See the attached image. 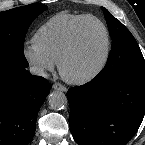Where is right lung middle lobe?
I'll return each instance as SVG.
<instances>
[{"mask_svg":"<svg viewBox=\"0 0 145 145\" xmlns=\"http://www.w3.org/2000/svg\"><path fill=\"white\" fill-rule=\"evenodd\" d=\"M46 9L36 3L0 12V75L28 67L24 38L32 21Z\"/></svg>","mask_w":145,"mask_h":145,"instance_id":"right-lung-middle-lobe-1","label":"right lung middle lobe"}]
</instances>
